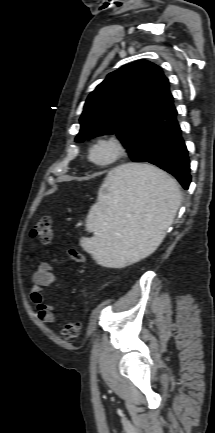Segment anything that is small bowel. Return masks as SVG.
I'll list each match as a JSON object with an SVG mask.
<instances>
[{
	"label": "small bowel",
	"mask_w": 215,
	"mask_h": 433,
	"mask_svg": "<svg viewBox=\"0 0 215 433\" xmlns=\"http://www.w3.org/2000/svg\"><path fill=\"white\" fill-rule=\"evenodd\" d=\"M32 287L29 292L31 301L36 307L38 318L44 323H55L57 317L53 306L47 302L46 293L50 286H57L58 282L50 263L41 261L32 275Z\"/></svg>",
	"instance_id": "1"
}]
</instances>
